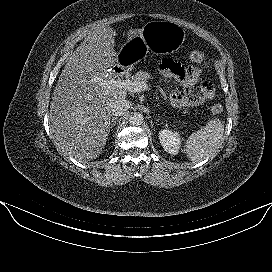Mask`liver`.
Listing matches in <instances>:
<instances>
[{
	"label": "liver",
	"mask_w": 272,
	"mask_h": 272,
	"mask_svg": "<svg viewBox=\"0 0 272 272\" xmlns=\"http://www.w3.org/2000/svg\"><path fill=\"white\" fill-rule=\"evenodd\" d=\"M141 31L130 29L127 40ZM116 36L110 27L90 32L69 58L54 89L50 105L53 137L75 159L92 160L102 153L111 129V104L127 95L124 89H107L95 81L109 80L107 68L119 66Z\"/></svg>",
	"instance_id": "6515ba94"
}]
</instances>
